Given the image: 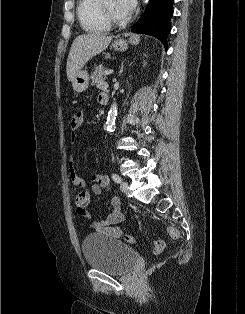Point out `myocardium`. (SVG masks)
Wrapping results in <instances>:
<instances>
[{
    "label": "myocardium",
    "mask_w": 245,
    "mask_h": 314,
    "mask_svg": "<svg viewBox=\"0 0 245 314\" xmlns=\"http://www.w3.org/2000/svg\"><path fill=\"white\" fill-rule=\"evenodd\" d=\"M97 10L102 21L109 27H120L125 25L130 20V15H127L122 19H115L110 16L103 6V0H98Z\"/></svg>",
    "instance_id": "1"
}]
</instances>
